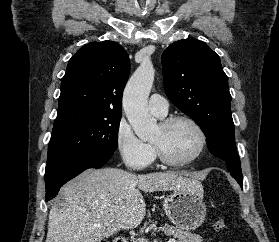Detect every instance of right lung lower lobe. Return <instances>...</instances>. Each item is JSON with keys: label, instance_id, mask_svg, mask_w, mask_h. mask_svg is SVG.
Segmentation results:
<instances>
[{"label": "right lung lower lobe", "instance_id": "right-lung-lower-lobe-1", "mask_svg": "<svg viewBox=\"0 0 279 242\" xmlns=\"http://www.w3.org/2000/svg\"><path fill=\"white\" fill-rule=\"evenodd\" d=\"M109 153H87L70 158L45 171L46 201L54 198L60 187L85 169L101 168L112 156Z\"/></svg>", "mask_w": 279, "mask_h": 242}]
</instances>
